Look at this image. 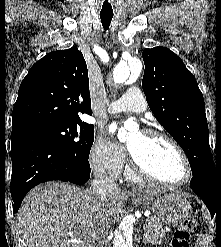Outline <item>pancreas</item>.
I'll list each match as a JSON object with an SVG mask.
<instances>
[{
	"instance_id": "obj_1",
	"label": "pancreas",
	"mask_w": 221,
	"mask_h": 247,
	"mask_svg": "<svg viewBox=\"0 0 221 247\" xmlns=\"http://www.w3.org/2000/svg\"><path fill=\"white\" fill-rule=\"evenodd\" d=\"M164 236L165 231L161 221L155 216L148 217L144 225L143 242L153 245L161 244Z\"/></svg>"
}]
</instances>
